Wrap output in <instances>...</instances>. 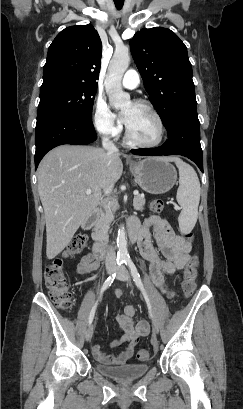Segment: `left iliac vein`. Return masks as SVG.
Masks as SVG:
<instances>
[{"instance_id":"left-iliac-vein-1","label":"left iliac vein","mask_w":243,"mask_h":409,"mask_svg":"<svg viewBox=\"0 0 243 409\" xmlns=\"http://www.w3.org/2000/svg\"><path fill=\"white\" fill-rule=\"evenodd\" d=\"M116 273H117V276H116L117 279H119L121 281H130L131 280L129 273H128L127 269L124 266L116 268ZM152 322H153V332L154 333H159L158 323L154 319H152ZM154 349L157 350L156 345L154 346Z\"/></svg>"}]
</instances>
